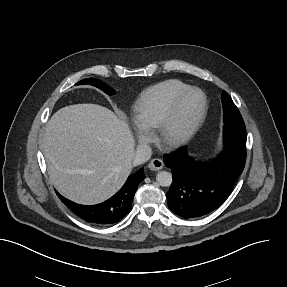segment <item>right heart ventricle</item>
I'll return each mask as SVG.
<instances>
[{
  "label": "right heart ventricle",
  "instance_id": "1",
  "mask_svg": "<svg viewBox=\"0 0 287 287\" xmlns=\"http://www.w3.org/2000/svg\"><path fill=\"white\" fill-rule=\"evenodd\" d=\"M188 87L181 81L167 80L148 88L135 105V124L144 131L156 128L173 98Z\"/></svg>",
  "mask_w": 287,
  "mask_h": 287
}]
</instances>
